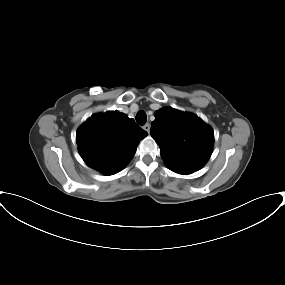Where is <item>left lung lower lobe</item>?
Masks as SVG:
<instances>
[{"instance_id": "obj_1", "label": "left lung lower lobe", "mask_w": 285, "mask_h": 285, "mask_svg": "<svg viewBox=\"0 0 285 285\" xmlns=\"http://www.w3.org/2000/svg\"><path fill=\"white\" fill-rule=\"evenodd\" d=\"M176 173H179V174H190V173H193V172H189V171H182V170H172Z\"/></svg>"}]
</instances>
